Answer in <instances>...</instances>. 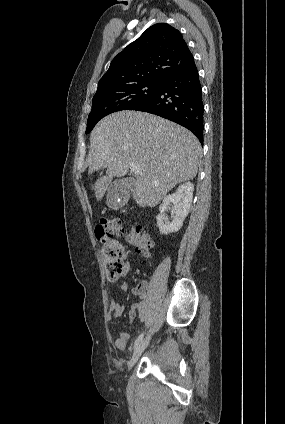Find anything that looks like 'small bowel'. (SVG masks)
<instances>
[{
	"label": "small bowel",
	"mask_w": 285,
	"mask_h": 424,
	"mask_svg": "<svg viewBox=\"0 0 285 424\" xmlns=\"http://www.w3.org/2000/svg\"><path fill=\"white\" fill-rule=\"evenodd\" d=\"M129 266L127 265L125 267V270L127 271ZM118 288L122 292H126L128 290V285L126 282H121L118 285ZM147 288L146 281H141L139 284H137L132 289V295L134 297L139 298L138 301L134 302L128 312L127 320L128 322L134 321L137 317L140 319H143L147 309H148V302L146 300L145 291ZM125 311V307L122 303L119 301L112 299L108 308V317L110 321H113L120 316L123 315ZM129 338L128 331H121L118 333V335L112 340V346L115 350H123L126 346V342Z\"/></svg>",
	"instance_id": "c3829d8e"
}]
</instances>
